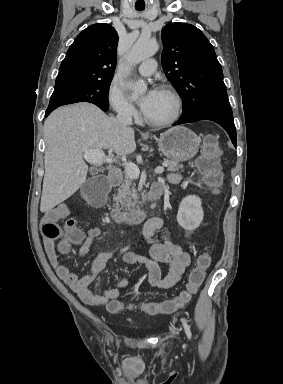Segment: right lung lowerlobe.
I'll list each match as a JSON object with an SVG mask.
<instances>
[{
    "instance_id": "98d812e1",
    "label": "right lung lower lobe",
    "mask_w": 283,
    "mask_h": 384,
    "mask_svg": "<svg viewBox=\"0 0 283 384\" xmlns=\"http://www.w3.org/2000/svg\"><path fill=\"white\" fill-rule=\"evenodd\" d=\"M103 111H107L108 110V108H102V107H100ZM54 109H56V108H52V109H50V108H48L47 110H46V112H45V117H47Z\"/></svg>"
}]
</instances>
